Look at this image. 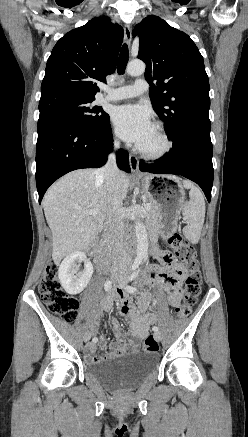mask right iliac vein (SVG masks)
<instances>
[{"mask_svg": "<svg viewBox=\"0 0 248 437\" xmlns=\"http://www.w3.org/2000/svg\"><path fill=\"white\" fill-rule=\"evenodd\" d=\"M117 278H118V277H117L116 275H114V276L112 277V280H113V281H116ZM89 339H90V334L86 333V334L84 335V337H83V340H84L85 342H87V341H89Z\"/></svg>", "mask_w": 248, "mask_h": 437, "instance_id": "right-iliac-vein-1", "label": "right iliac vein"}]
</instances>
